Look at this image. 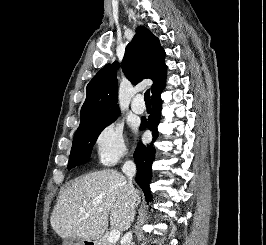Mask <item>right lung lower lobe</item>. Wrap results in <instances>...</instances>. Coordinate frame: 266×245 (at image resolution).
<instances>
[{"instance_id": "obj_1", "label": "right lung lower lobe", "mask_w": 266, "mask_h": 245, "mask_svg": "<svg viewBox=\"0 0 266 245\" xmlns=\"http://www.w3.org/2000/svg\"><path fill=\"white\" fill-rule=\"evenodd\" d=\"M163 88L152 95V113L148 116V119H144L141 122L140 129L143 130L148 128L152 131L154 137L153 140L157 139L158 131L157 125L160 121L161 116V104L162 100L160 94ZM155 157V148L152 145H144L139 143L134 153V161L137 165L136 182L144 192L147 202L151 201V193L149 190V182L152 175L151 164Z\"/></svg>"}]
</instances>
